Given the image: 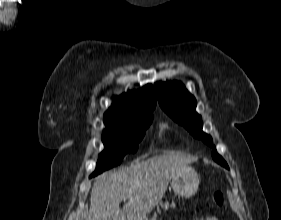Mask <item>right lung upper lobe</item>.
Returning a JSON list of instances; mask_svg holds the SVG:
<instances>
[{
	"label": "right lung upper lobe",
	"mask_w": 281,
	"mask_h": 220,
	"mask_svg": "<svg viewBox=\"0 0 281 220\" xmlns=\"http://www.w3.org/2000/svg\"><path fill=\"white\" fill-rule=\"evenodd\" d=\"M155 107L154 90L151 84H147L137 91H129L115 97L114 103L104 114V123L111 127L126 121L150 116Z\"/></svg>",
	"instance_id": "cb5924a9"
}]
</instances>
